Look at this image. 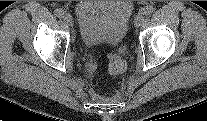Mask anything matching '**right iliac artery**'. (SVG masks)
<instances>
[{
	"label": "right iliac artery",
	"instance_id": "1",
	"mask_svg": "<svg viewBox=\"0 0 207 121\" xmlns=\"http://www.w3.org/2000/svg\"><path fill=\"white\" fill-rule=\"evenodd\" d=\"M55 13H56L57 17H59V18H61V17H63L65 15V11L63 9H61V8L56 9Z\"/></svg>",
	"mask_w": 207,
	"mask_h": 121
}]
</instances>
